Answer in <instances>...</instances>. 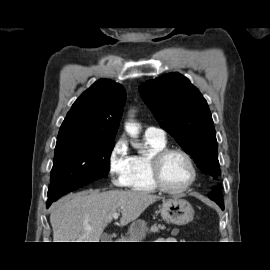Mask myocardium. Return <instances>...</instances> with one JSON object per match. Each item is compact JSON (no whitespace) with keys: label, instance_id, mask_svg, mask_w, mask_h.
Segmentation results:
<instances>
[{"label":"myocardium","instance_id":"myocardium-1","mask_svg":"<svg viewBox=\"0 0 270 270\" xmlns=\"http://www.w3.org/2000/svg\"><path fill=\"white\" fill-rule=\"evenodd\" d=\"M172 153H178L181 154L188 162L190 169H191V178L188 181L187 184H185L184 186L180 187V188H170L168 187L162 178L161 175V165L162 162L164 161V159L172 154ZM149 173H150V177L152 180V183L154 184V186L165 193H169V194H181L184 193L186 191H188L195 183L196 179H197V168L195 165V162L192 158V156L184 149L179 148V147H165L157 152H155L149 161Z\"/></svg>","mask_w":270,"mask_h":270}]
</instances>
